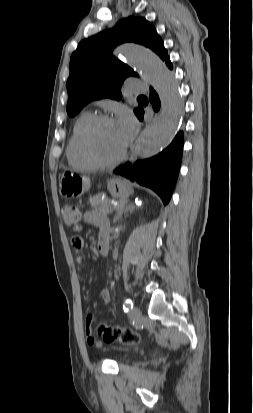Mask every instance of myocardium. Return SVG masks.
Here are the masks:
<instances>
[{"label": "myocardium", "mask_w": 253, "mask_h": 413, "mask_svg": "<svg viewBox=\"0 0 253 413\" xmlns=\"http://www.w3.org/2000/svg\"><path fill=\"white\" fill-rule=\"evenodd\" d=\"M114 122V119L108 115L100 114L92 116L84 125L80 135L81 149L86 158L96 167H113L122 162L127 155V147L114 159L105 160L99 158L91 145V134L93 130L101 123Z\"/></svg>", "instance_id": "obj_1"}]
</instances>
